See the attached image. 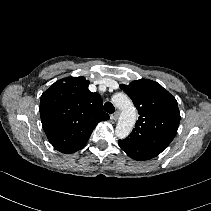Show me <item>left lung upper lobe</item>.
<instances>
[{
    "label": "left lung upper lobe",
    "instance_id": "1",
    "mask_svg": "<svg viewBox=\"0 0 211 211\" xmlns=\"http://www.w3.org/2000/svg\"><path fill=\"white\" fill-rule=\"evenodd\" d=\"M120 88L132 99L139 118L132 133L118 141L119 146L135 160L156 157L177 133L180 112L176 99L160 84L148 79L121 84Z\"/></svg>",
    "mask_w": 211,
    "mask_h": 211
}]
</instances>
